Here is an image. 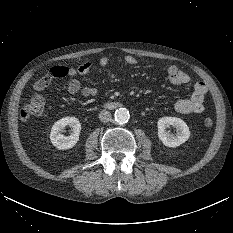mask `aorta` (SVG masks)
<instances>
[{"label":"aorta","instance_id":"1","mask_svg":"<svg viewBox=\"0 0 233 233\" xmlns=\"http://www.w3.org/2000/svg\"><path fill=\"white\" fill-rule=\"evenodd\" d=\"M115 121L119 124H125L130 118L129 111L125 108H119L114 113Z\"/></svg>","mask_w":233,"mask_h":233}]
</instances>
